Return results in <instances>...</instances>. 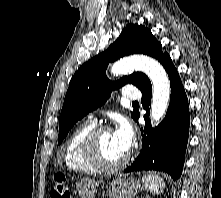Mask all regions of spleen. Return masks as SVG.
Here are the masks:
<instances>
[{
  "label": "spleen",
  "instance_id": "spleen-1",
  "mask_svg": "<svg viewBox=\"0 0 221 198\" xmlns=\"http://www.w3.org/2000/svg\"><path fill=\"white\" fill-rule=\"evenodd\" d=\"M142 181L145 187L153 194H160L165 188V183L158 175H143Z\"/></svg>",
  "mask_w": 221,
  "mask_h": 198
}]
</instances>
